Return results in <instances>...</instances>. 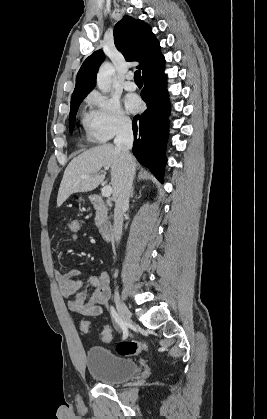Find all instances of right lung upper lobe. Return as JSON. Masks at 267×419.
Masks as SVG:
<instances>
[{
  "mask_svg": "<svg viewBox=\"0 0 267 419\" xmlns=\"http://www.w3.org/2000/svg\"><path fill=\"white\" fill-rule=\"evenodd\" d=\"M114 43L126 61H138L142 75L164 60L151 27L139 19L124 16L114 28ZM105 56L95 51L82 64L76 77L72 98L87 96L96 85V74Z\"/></svg>",
  "mask_w": 267,
  "mask_h": 419,
  "instance_id": "right-lung-upper-lobe-1",
  "label": "right lung upper lobe"
}]
</instances>
